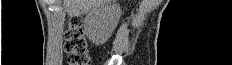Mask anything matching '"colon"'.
I'll list each match as a JSON object with an SVG mask.
<instances>
[{
    "label": "colon",
    "mask_w": 232,
    "mask_h": 65,
    "mask_svg": "<svg viewBox=\"0 0 232 65\" xmlns=\"http://www.w3.org/2000/svg\"><path fill=\"white\" fill-rule=\"evenodd\" d=\"M64 48L68 65H90L87 40L80 17H72L64 33Z\"/></svg>",
    "instance_id": "obj_1"
}]
</instances>
